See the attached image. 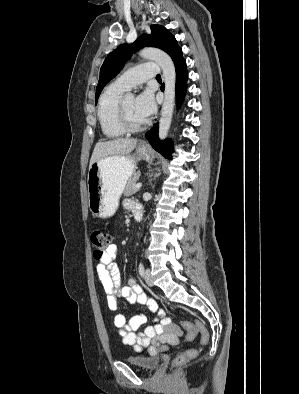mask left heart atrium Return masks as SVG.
Returning a JSON list of instances; mask_svg holds the SVG:
<instances>
[{
  "label": "left heart atrium",
  "instance_id": "obj_1",
  "mask_svg": "<svg viewBox=\"0 0 299 394\" xmlns=\"http://www.w3.org/2000/svg\"><path fill=\"white\" fill-rule=\"evenodd\" d=\"M135 109L139 116L146 121L156 109L153 94L150 91L142 92L135 99Z\"/></svg>",
  "mask_w": 299,
  "mask_h": 394
}]
</instances>
